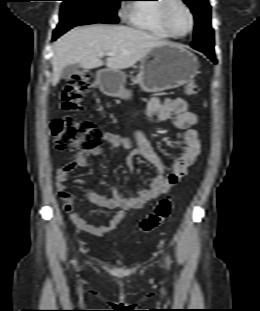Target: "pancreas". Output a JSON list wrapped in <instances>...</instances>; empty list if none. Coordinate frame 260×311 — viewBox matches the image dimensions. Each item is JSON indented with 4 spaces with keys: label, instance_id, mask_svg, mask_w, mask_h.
I'll use <instances>...</instances> for the list:
<instances>
[{
    "label": "pancreas",
    "instance_id": "1",
    "mask_svg": "<svg viewBox=\"0 0 260 311\" xmlns=\"http://www.w3.org/2000/svg\"><path fill=\"white\" fill-rule=\"evenodd\" d=\"M132 81H133V83H139L140 82L139 78H133Z\"/></svg>",
    "mask_w": 260,
    "mask_h": 311
}]
</instances>
